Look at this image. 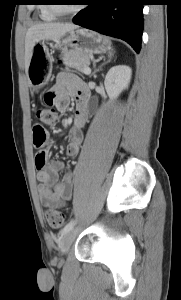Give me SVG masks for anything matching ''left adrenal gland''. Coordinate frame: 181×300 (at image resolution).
<instances>
[{"instance_id":"a2214340","label":"left adrenal gland","mask_w":181,"mask_h":300,"mask_svg":"<svg viewBox=\"0 0 181 300\" xmlns=\"http://www.w3.org/2000/svg\"><path fill=\"white\" fill-rule=\"evenodd\" d=\"M105 63L106 62L102 63V65H100L99 68L92 73V75H95L105 65Z\"/></svg>"}]
</instances>
